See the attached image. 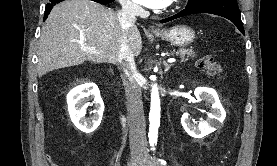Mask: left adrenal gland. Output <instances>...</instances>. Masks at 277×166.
Masks as SVG:
<instances>
[{"mask_svg": "<svg viewBox=\"0 0 277 166\" xmlns=\"http://www.w3.org/2000/svg\"><path fill=\"white\" fill-rule=\"evenodd\" d=\"M163 65L165 66L164 73H166L173 64H168L167 62L163 61Z\"/></svg>", "mask_w": 277, "mask_h": 166, "instance_id": "obj_1", "label": "left adrenal gland"}]
</instances>
